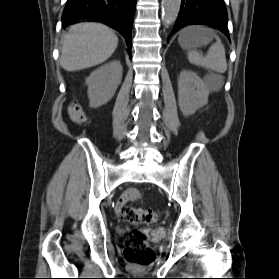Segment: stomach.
<instances>
[{
	"label": "stomach",
	"instance_id": "0dacf381",
	"mask_svg": "<svg viewBox=\"0 0 279 279\" xmlns=\"http://www.w3.org/2000/svg\"><path fill=\"white\" fill-rule=\"evenodd\" d=\"M212 37L213 32L211 30L196 26L182 30L178 41L183 49L189 50L207 45Z\"/></svg>",
	"mask_w": 279,
	"mask_h": 279
}]
</instances>
